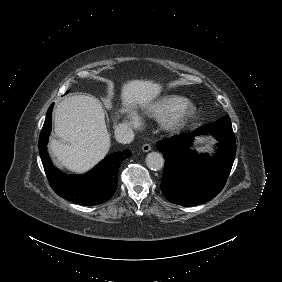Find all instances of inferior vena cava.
Returning a JSON list of instances; mask_svg holds the SVG:
<instances>
[{
  "instance_id": "1",
  "label": "inferior vena cava",
  "mask_w": 282,
  "mask_h": 282,
  "mask_svg": "<svg viewBox=\"0 0 282 282\" xmlns=\"http://www.w3.org/2000/svg\"><path fill=\"white\" fill-rule=\"evenodd\" d=\"M115 137L120 143H130L134 139V131L127 124H118L115 127Z\"/></svg>"
}]
</instances>
